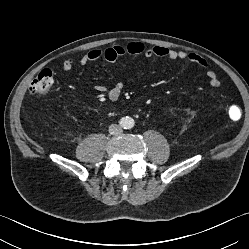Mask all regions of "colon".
<instances>
[{
	"label": "colon",
	"mask_w": 249,
	"mask_h": 249,
	"mask_svg": "<svg viewBox=\"0 0 249 249\" xmlns=\"http://www.w3.org/2000/svg\"><path fill=\"white\" fill-rule=\"evenodd\" d=\"M53 83H54L53 71L51 69H43L31 82L30 92L38 96H45L50 92ZM229 114L231 118L237 119L241 115V110L238 107L232 106L229 109Z\"/></svg>",
	"instance_id": "obj_1"
}]
</instances>
